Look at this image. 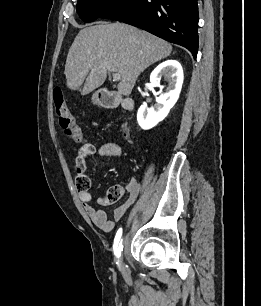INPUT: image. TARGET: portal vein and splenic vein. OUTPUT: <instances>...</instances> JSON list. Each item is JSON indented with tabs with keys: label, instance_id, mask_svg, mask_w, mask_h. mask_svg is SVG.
<instances>
[{
	"label": "portal vein and splenic vein",
	"instance_id": "1",
	"mask_svg": "<svg viewBox=\"0 0 261 306\" xmlns=\"http://www.w3.org/2000/svg\"><path fill=\"white\" fill-rule=\"evenodd\" d=\"M121 79V76L119 73H113V81H119Z\"/></svg>",
	"mask_w": 261,
	"mask_h": 306
}]
</instances>
